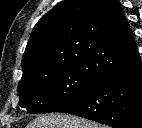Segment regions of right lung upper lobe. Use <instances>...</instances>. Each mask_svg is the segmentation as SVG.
Wrapping results in <instances>:
<instances>
[{"label":"right lung upper lobe","mask_w":142,"mask_h":128,"mask_svg":"<svg viewBox=\"0 0 142 128\" xmlns=\"http://www.w3.org/2000/svg\"><path fill=\"white\" fill-rule=\"evenodd\" d=\"M139 58L136 43L116 0H65L35 25L22 58V79L81 65L97 80Z\"/></svg>","instance_id":"right-lung-upper-lobe-1"}]
</instances>
